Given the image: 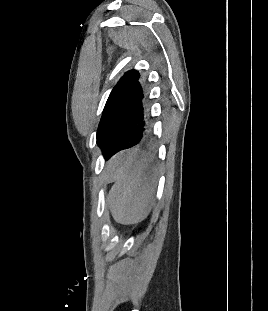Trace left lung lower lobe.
Returning a JSON list of instances; mask_svg holds the SVG:
<instances>
[{"mask_svg":"<svg viewBox=\"0 0 268 311\" xmlns=\"http://www.w3.org/2000/svg\"><path fill=\"white\" fill-rule=\"evenodd\" d=\"M127 105L119 115L118 127L104 153L105 160L117 152L142 145L152 132V120L144 81L139 78L133 87Z\"/></svg>","mask_w":268,"mask_h":311,"instance_id":"1","label":"left lung lower lobe"}]
</instances>
